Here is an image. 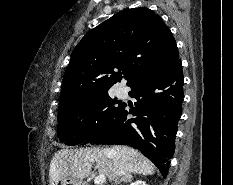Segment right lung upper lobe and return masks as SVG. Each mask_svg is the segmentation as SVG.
Segmentation results:
<instances>
[{
  "label": "right lung upper lobe",
  "mask_w": 233,
  "mask_h": 185,
  "mask_svg": "<svg viewBox=\"0 0 233 185\" xmlns=\"http://www.w3.org/2000/svg\"><path fill=\"white\" fill-rule=\"evenodd\" d=\"M178 58L176 41L159 15L144 7L124 10L89 31L75 47L59 107L108 91L122 73L129 86Z\"/></svg>",
  "instance_id": "cb5924a9"
}]
</instances>
